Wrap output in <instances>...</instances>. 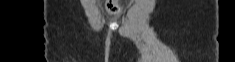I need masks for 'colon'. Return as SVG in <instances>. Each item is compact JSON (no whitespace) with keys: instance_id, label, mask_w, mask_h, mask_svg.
<instances>
[{"instance_id":"colon-1","label":"colon","mask_w":235,"mask_h":62,"mask_svg":"<svg viewBox=\"0 0 235 62\" xmlns=\"http://www.w3.org/2000/svg\"><path fill=\"white\" fill-rule=\"evenodd\" d=\"M106 9L110 14H118L121 10L118 0H107Z\"/></svg>"}]
</instances>
